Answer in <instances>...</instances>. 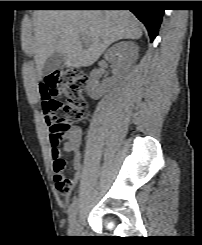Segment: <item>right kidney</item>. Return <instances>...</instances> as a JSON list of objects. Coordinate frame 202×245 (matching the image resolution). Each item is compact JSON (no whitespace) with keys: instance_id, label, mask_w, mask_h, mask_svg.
<instances>
[{"instance_id":"right-kidney-1","label":"right kidney","mask_w":202,"mask_h":245,"mask_svg":"<svg viewBox=\"0 0 202 245\" xmlns=\"http://www.w3.org/2000/svg\"><path fill=\"white\" fill-rule=\"evenodd\" d=\"M104 58L112 64L114 76H120L137 61L138 46L131 41H122L109 48ZM102 70L93 69L87 83V90L91 98L97 100L105 93V86L100 83Z\"/></svg>"}]
</instances>
